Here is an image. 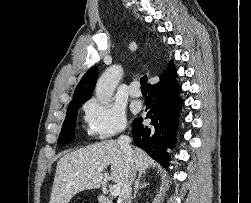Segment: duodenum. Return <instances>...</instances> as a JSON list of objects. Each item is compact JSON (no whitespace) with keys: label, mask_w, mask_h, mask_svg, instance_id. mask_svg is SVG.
Segmentation results:
<instances>
[{"label":"duodenum","mask_w":251,"mask_h":203,"mask_svg":"<svg viewBox=\"0 0 251 203\" xmlns=\"http://www.w3.org/2000/svg\"><path fill=\"white\" fill-rule=\"evenodd\" d=\"M98 200L99 203H113L106 195H100Z\"/></svg>","instance_id":"1"}]
</instances>
